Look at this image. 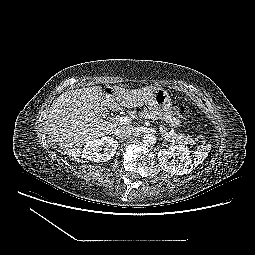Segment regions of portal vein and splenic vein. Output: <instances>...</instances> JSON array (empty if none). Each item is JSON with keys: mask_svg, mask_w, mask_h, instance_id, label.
<instances>
[{"mask_svg": "<svg viewBox=\"0 0 255 255\" xmlns=\"http://www.w3.org/2000/svg\"><path fill=\"white\" fill-rule=\"evenodd\" d=\"M131 121H132V118L128 116L116 118V122L120 124H129ZM160 132L163 134L164 130L161 129Z\"/></svg>", "mask_w": 255, "mask_h": 255, "instance_id": "18ae733b", "label": "portal vein and splenic vein"}]
</instances>
